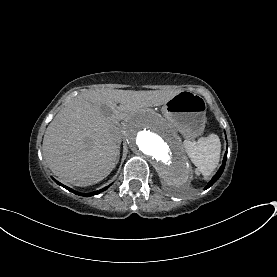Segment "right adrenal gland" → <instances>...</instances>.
Segmentation results:
<instances>
[{"mask_svg": "<svg viewBox=\"0 0 277 277\" xmlns=\"http://www.w3.org/2000/svg\"><path fill=\"white\" fill-rule=\"evenodd\" d=\"M119 157H120V155L117 157V162L119 161Z\"/></svg>", "mask_w": 277, "mask_h": 277, "instance_id": "2a0ac1e0", "label": "right adrenal gland"}]
</instances>
